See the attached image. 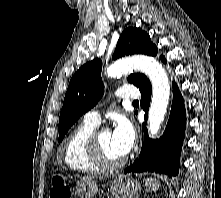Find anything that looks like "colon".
<instances>
[{
    "instance_id": "obj_1",
    "label": "colon",
    "mask_w": 221,
    "mask_h": 198,
    "mask_svg": "<svg viewBox=\"0 0 221 198\" xmlns=\"http://www.w3.org/2000/svg\"><path fill=\"white\" fill-rule=\"evenodd\" d=\"M50 198H71L70 187L65 182L63 176L55 175L52 178Z\"/></svg>"
}]
</instances>
